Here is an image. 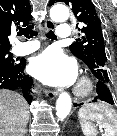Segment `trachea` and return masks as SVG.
<instances>
[{"mask_svg":"<svg viewBox=\"0 0 117 136\" xmlns=\"http://www.w3.org/2000/svg\"><path fill=\"white\" fill-rule=\"evenodd\" d=\"M18 35L21 36V35H24L26 38H31V37H34V36H37L38 35V32L36 30L33 29V27H30L28 26L27 28H24V29H21L19 32H18ZM46 36L49 38V39H56V35L54 34V32L52 30H50Z\"/></svg>","mask_w":117,"mask_h":136,"instance_id":"trachea-1","label":"trachea"}]
</instances>
